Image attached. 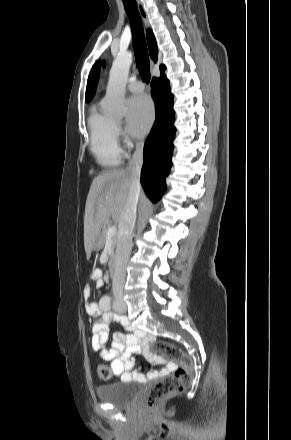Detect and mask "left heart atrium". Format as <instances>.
<instances>
[{
  "label": "left heart atrium",
  "mask_w": 291,
  "mask_h": 440,
  "mask_svg": "<svg viewBox=\"0 0 291 440\" xmlns=\"http://www.w3.org/2000/svg\"><path fill=\"white\" fill-rule=\"evenodd\" d=\"M154 120V107L146 95H135L128 101L127 128L134 136L145 135Z\"/></svg>",
  "instance_id": "left-heart-atrium-1"
}]
</instances>
